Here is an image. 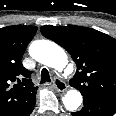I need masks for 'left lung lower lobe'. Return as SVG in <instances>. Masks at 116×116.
I'll list each match as a JSON object with an SVG mask.
<instances>
[{
  "instance_id": "1",
  "label": "left lung lower lobe",
  "mask_w": 116,
  "mask_h": 116,
  "mask_svg": "<svg viewBox=\"0 0 116 116\" xmlns=\"http://www.w3.org/2000/svg\"><path fill=\"white\" fill-rule=\"evenodd\" d=\"M84 106L72 116H113L116 113V100L104 97H83Z\"/></svg>"
}]
</instances>
